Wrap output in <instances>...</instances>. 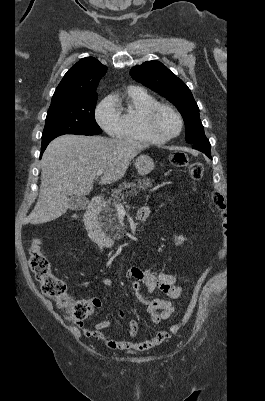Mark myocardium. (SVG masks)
Listing matches in <instances>:
<instances>
[{
	"label": "myocardium",
	"mask_w": 265,
	"mask_h": 401,
	"mask_svg": "<svg viewBox=\"0 0 265 401\" xmlns=\"http://www.w3.org/2000/svg\"><path fill=\"white\" fill-rule=\"evenodd\" d=\"M159 110H166L177 117L179 124H180V128L176 135L166 138V139H158L153 135L152 129H151V121H152V118L155 115V113ZM141 125H142L145 133L148 135L151 142L166 143V142H169V141H172V140L178 138L182 134L183 129H184V120H183L182 115L172 106L163 104V103H155L154 105H152L151 107L147 108L144 111L142 119H141Z\"/></svg>",
	"instance_id": "1"
}]
</instances>
